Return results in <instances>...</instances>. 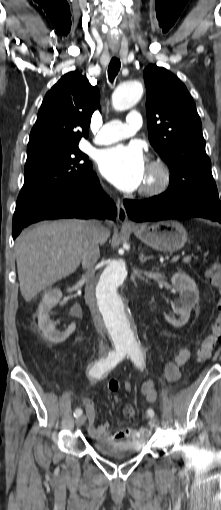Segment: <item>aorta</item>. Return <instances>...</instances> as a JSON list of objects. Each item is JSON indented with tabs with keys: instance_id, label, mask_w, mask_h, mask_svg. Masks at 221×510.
<instances>
[{
	"instance_id": "762f6f07",
	"label": "aorta",
	"mask_w": 221,
	"mask_h": 510,
	"mask_svg": "<svg viewBox=\"0 0 221 510\" xmlns=\"http://www.w3.org/2000/svg\"><path fill=\"white\" fill-rule=\"evenodd\" d=\"M142 94L141 83L137 81L122 83L112 95V105L117 111L130 109L140 100ZM126 279V263L122 259H117L106 266L95 284L99 314L117 350L139 347L131 312L120 293V288Z\"/></svg>"
}]
</instances>
